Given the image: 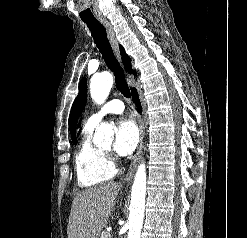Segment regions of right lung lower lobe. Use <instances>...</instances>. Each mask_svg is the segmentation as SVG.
Listing matches in <instances>:
<instances>
[{"label":"right lung lower lobe","instance_id":"obj_1","mask_svg":"<svg viewBox=\"0 0 247 238\" xmlns=\"http://www.w3.org/2000/svg\"><path fill=\"white\" fill-rule=\"evenodd\" d=\"M132 98L134 100V103L136 104L139 111H141V104L138 98V94L135 88H132Z\"/></svg>","mask_w":247,"mask_h":238}]
</instances>
